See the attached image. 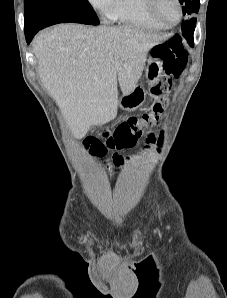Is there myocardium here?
<instances>
[{
	"mask_svg": "<svg viewBox=\"0 0 227 298\" xmlns=\"http://www.w3.org/2000/svg\"><path fill=\"white\" fill-rule=\"evenodd\" d=\"M159 1L160 0H147V9H148L150 16L153 19H155L157 22H159L160 24L164 25L165 27H173V26H176L177 24H179L183 18V5H182L181 0H175L176 4L178 6V10H179V16H178V19L173 23L167 22L159 14V12H158Z\"/></svg>",
	"mask_w": 227,
	"mask_h": 298,
	"instance_id": "1",
	"label": "myocardium"
}]
</instances>
